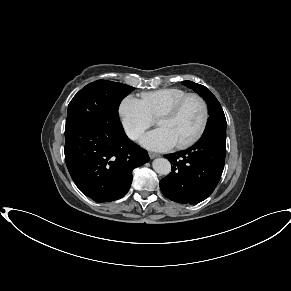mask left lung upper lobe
I'll list each match as a JSON object with an SVG mask.
<instances>
[{
  "mask_svg": "<svg viewBox=\"0 0 291 291\" xmlns=\"http://www.w3.org/2000/svg\"><path fill=\"white\" fill-rule=\"evenodd\" d=\"M183 84L193 89L207 103L209 118L203 135L207 134H225L226 135V118L222 107L216 97L208 88L192 81H183ZM202 135V136H203Z\"/></svg>",
  "mask_w": 291,
  "mask_h": 291,
  "instance_id": "1",
  "label": "left lung upper lobe"
}]
</instances>
